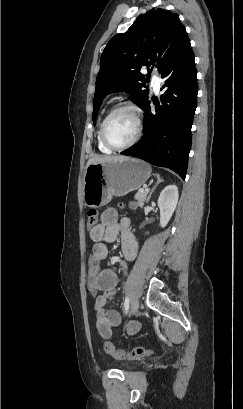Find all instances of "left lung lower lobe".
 <instances>
[{
	"label": "left lung lower lobe",
	"mask_w": 243,
	"mask_h": 409,
	"mask_svg": "<svg viewBox=\"0 0 243 409\" xmlns=\"http://www.w3.org/2000/svg\"><path fill=\"white\" fill-rule=\"evenodd\" d=\"M161 74L165 79L161 104H156L155 111L151 110L150 100L144 104L143 137L121 154L167 167L184 180L198 93L190 40L180 48Z\"/></svg>",
	"instance_id": "obj_1"
}]
</instances>
